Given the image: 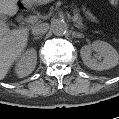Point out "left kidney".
Masks as SVG:
<instances>
[{
	"mask_svg": "<svg viewBox=\"0 0 119 119\" xmlns=\"http://www.w3.org/2000/svg\"><path fill=\"white\" fill-rule=\"evenodd\" d=\"M92 51L97 52L103 61L93 58ZM80 54L84 64L93 70H106L116 66L119 63V55L117 51L107 42L95 41L90 45L81 48Z\"/></svg>",
	"mask_w": 119,
	"mask_h": 119,
	"instance_id": "obj_1",
	"label": "left kidney"
}]
</instances>
